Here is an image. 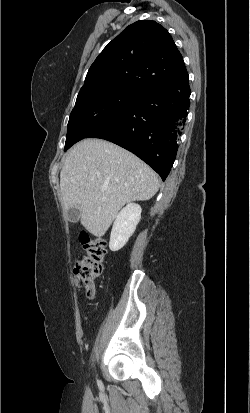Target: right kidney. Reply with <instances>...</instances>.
<instances>
[{
	"mask_svg": "<svg viewBox=\"0 0 250 413\" xmlns=\"http://www.w3.org/2000/svg\"><path fill=\"white\" fill-rule=\"evenodd\" d=\"M142 209L140 205L129 203L117 215L111 235L109 248L111 251L120 250L134 233L141 219Z\"/></svg>",
	"mask_w": 250,
	"mask_h": 413,
	"instance_id": "obj_1",
	"label": "right kidney"
}]
</instances>
